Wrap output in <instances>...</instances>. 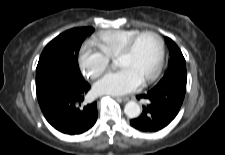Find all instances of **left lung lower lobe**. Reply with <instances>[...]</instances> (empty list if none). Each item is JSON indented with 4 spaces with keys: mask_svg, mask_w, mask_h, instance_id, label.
Instances as JSON below:
<instances>
[{
    "mask_svg": "<svg viewBox=\"0 0 225 155\" xmlns=\"http://www.w3.org/2000/svg\"><path fill=\"white\" fill-rule=\"evenodd\" d=\"M186 86L180 82H159L147 94L137 99H147L142 114L130 121L131 126L144 132H156L166 127L178 114L184 100Z\"/></svg>",
    "mask_w": 225,
    "mask_h": 155,
    "instance_id": "0a47b994",
    "label": "left lung lower lobe"
}]
</instances>
